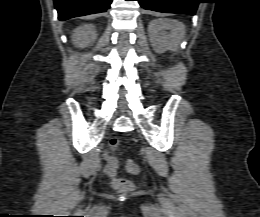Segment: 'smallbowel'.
<instances>
[{
    "label": "small bowel",
    "instance_id": "1",
    "mask_svg": "<svg viewBox=\"0 0 260 217\" xmlns=\"http://www.w3.org/2000/svg\"><path fill=\"white\" fill-rule=\"evenodd\" d=\"M105 159L107 164L104 167V172L109 177H114L120 168L119 160L113 153L110 152L105 153Z\"/></svg>",
    "mask_w": 260,
    "mask_h": 217
}]
</instances>
